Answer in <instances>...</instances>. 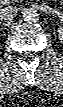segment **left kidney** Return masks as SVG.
<instances>
[{
  "instance_id": "left-kidney-1",
  "label": "left kidney",
  "mask_w": 63,
  "mask_h": 107,
  "mask_svg": "<svg viewBox=\"0 0 63 107\" xmlns=\"http://www.w3.org/2000/svg\"><path fill=\"white\" fill-rule=\"evenodd\" d=\"M57 32H58L59 39L61 41H63V28L59 27L58 30H57Z\"/></svg>"
}]
</instances>
